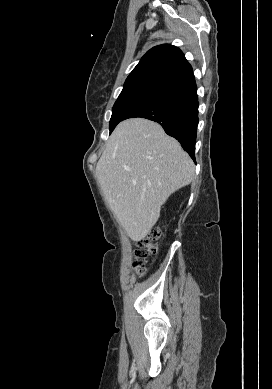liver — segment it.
Masks as SVG:
<instances>
[{"instance_id": "obj_1", "label": "liver", "mask_w": 272, "mask_h": 389, "mask_svg": "<svg viewBox=\"0 0 272 389\" xmlns=\"http://www.w3.org/2000/svg\"><path fill=\"white\" fill-rule=\"evenodd\" d=\"M195 165L163 128L147 119L122 121L96 166L111 210L134 241L144 239L169 196L190 184Z\"/></svg>"}]
</instances>
